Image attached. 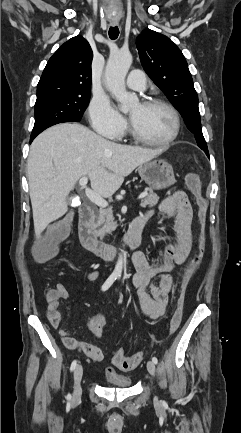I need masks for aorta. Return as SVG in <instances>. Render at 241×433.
Returning <instances> with one entry per match:
<instances>
[{"instance_id":"762f6f07","label":"aorta","mask_w":241,"mask_h":433,"mask_svg":"<svg viewBox=\"0 0 241 433\" xmlns=\"http://www.w3.org/2000/svg\"><path fill=\"white\" fill-rule=\"evenodd\" d=\"M132 63V55L128 51L112 53L105 68V83L109 92L121 104V111L128 112L138 103V97L125 88V77ZM125 252L121 250L114 268V274L121 276Z\"/></svg>"}]
</instances>
